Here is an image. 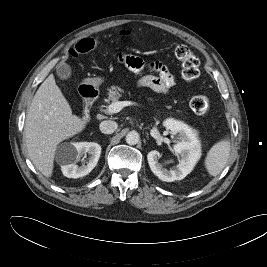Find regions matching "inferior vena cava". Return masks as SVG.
<instances>
[{"mask_svg": "<svg viewBox=\"0 0 267 267\" xmlns=\"http://www.w3.org/2000/svg\"><path fill=\"white\" fill-rule=\"evenodd\" d=\"M100 131L104 134H111L116 131L118 124L115 121L106 120L100 123Z\"/></svg>", "mask_w": 267, "mask_h": 267, "instance_id": "obj_1", "label": "inferior vena cava"}]
</instances>
